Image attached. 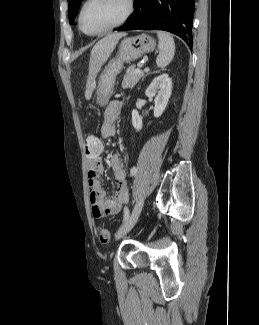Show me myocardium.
Instances as JSON below:
<instances>
[{
  "mask_svg": "<svg viewBox=\"0 0 259 325\" xmlns=\"http://www.w3.org/2000/svg\"><path fill=\"white\" fill-rule=\"evenodd\" d=\"M91 2V0H85L83 2V4L81 5L80 9H79V13H78V27L79 29L86 35L88 36H99L102 35L104 33H107L121 25H123L132 15L133 11H134V1L133 0H125V4H126V10L125 13L123 14V16L114 24L110 25L109 27L100 30L98 32H88L84 29L83 25H82V15H83V11L85 9V7Z\"/></svg>",
  "mask_w": 259,
  "mask_h": 325,
  "instance_id": "obj_1",
  "label": "myocardium"
}]
</instances>
